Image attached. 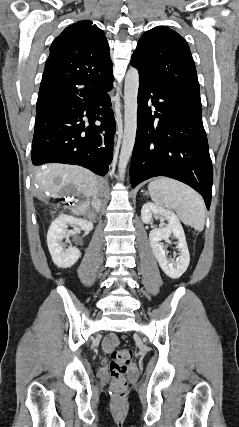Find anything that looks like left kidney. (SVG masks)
Here are the masks:
<instances>
[{
    "instance_id": "obj_1",
    "label": "left kidney",
    "mask_w": 239,
    "mask_h": 427,
    "mask_svg": "<svg viewBox=\"0 0 239 427\" xmlns=\"http://www.w3.org/2000/svg\"><path fill=\"white\" fill-rule=\"evenodd\" d=\"M153 216H161L168 221L165 227L155 228L150 231L149 240L153 254L167 276L173 279L179 278L187 270L190 262L183 227L174 212L147 202L141 209L142 221L148 224L152 221ZM171 234L178 240L177 248L180 252V256L175 261L167 258L165 248L161 242L168 240Z\"/></svg>"
}]
</instances>
